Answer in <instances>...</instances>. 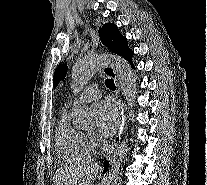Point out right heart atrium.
<instances>
[{
  "label": "right heart atrium",
  "instance_id": "d8ad5b80",
  "mask_svg": "<svg viewBox=\"0 0 207 185\" xmlns=\"http://www.w3.org/2000/svg\"><path fill=\"white\" fill-rule=\"evenodd\" d=\"M90 137L96 142L98 141V137L95 134H91Z\"/></svg>",
  "mask_w": 207,
  "mask_h": 185
}]
</instances>
